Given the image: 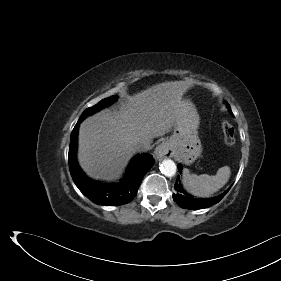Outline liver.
<instances>
[{"label":"liver","mask_w":281,"mask_h":281,"mask_svg":"<svg viewBox=\"0 0 281 281\" xmlns=\"http://www.w3.org/2000/svg\"><path fill=\"white\" fill-rule=\"evenodd\" d=\"M186 81L156 84L129 96L119 110L105 109L86 118L79 128L78 161L96 180L112 181L122 173L136 146L168 133L183 116Z\"/></svg>","instance_id":"liver-1"}]
</instances>
